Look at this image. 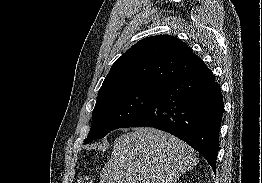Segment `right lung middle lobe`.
<instances>
[{
    "mask_svg": "<svg viewBox=\"0 0 262 183\" xmlns=\"http://www.w3.org/2000/svg\"><path fill=\"white\" fill-rule=\"evenodd\" d=\"M156 93L157 90L152 89H128L99 96L92 113L91 129L84 143L123 128L143 111Z\"/></svg>",
    "mask_w": 262,
    "mask_h": 183,
    "instance_id": "dd1d6c3e",
    "label": "right lung middle lobe"
}]
</instances>
